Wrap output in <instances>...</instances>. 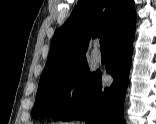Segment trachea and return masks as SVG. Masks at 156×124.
<instances>
[{"label":"trachea","mask_w":156,"mask_h":124,"mask_svg":"<svg viewBox=\"0 0 156 124\" xmlns=\"http://www.w3.org/2000/svg\"><path fill=\"white\" fill-rule=\"evenodd\" d=\"M100 49H101V51L107 50V47H106V39L105 38H101L100 39Z\"/></svg>","instance_id":"trachea-1"}]
</instances>
